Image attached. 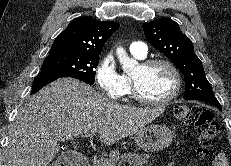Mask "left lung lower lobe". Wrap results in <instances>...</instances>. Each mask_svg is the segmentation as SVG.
<instances>
[{
  "label": "left lung lower lobe",
  "mask_w": 231,
  "mask_h": 166,
  "mask_svg": "<svg viewBox=\"0 0 231 166\" xmlns=\"http://www.w3.org/2000/svg\"><path fill=\"white\" fill-rule=\"evenodd\" d=\"M198 101H203V102L210 103V104L216 106L218 109L221 110V105H220V103L217 101V99H205V100H198Z\"/></svg>",
  "instance_id": "0a47b994"
}]
</instances>
